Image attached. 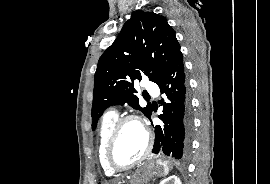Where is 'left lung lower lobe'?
Returning <instances> with one entry per match:
<instances>
[{
	"label": "left lung lower lobe",
	"instance_id": "obj_1",
	"mask_svg": "<svg viewBox=\"0 0 270 184\" xmlns=\"http://www.w3.org/2000/svg\"><path fill=\"white\" fill-rule=\"evenodd\" d=\"M165 94L163 114L159 118L165 123L164 133L155 127L153 153L160 151L170 159L184 162L190 155L193 134V119L189 89L185 80L181 51L172 60L163 77L156 83Z\"/></svg>",
	"mask_w": 270,
	"mask_h": 184
}]
</instances>
